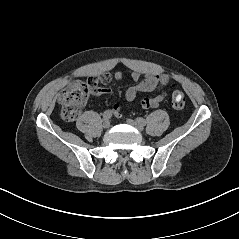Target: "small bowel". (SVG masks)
I'll return each mask as SVG.
<instances>
[{
    "label": "small bowel",
    "instance_id": "small-bowel-1",
    "mask_svg": "<svg viewBox=\"0 0 239 239\" xmlns=\"http://www.w3.org/2000/svg\"><path fill=\"white\" fill-rule=\"evenodd\" d=\"M97 78L98 83H108L113 78L117 81L124 79V73L122 71H116L114 74L104 73L101 76H93ZM131 79L137 82L135 85L129 87L125 92V98L128 102L133 103L137 100L139 93L143 92H156V95L148 98H144L141 101V106L144 109L156 108L167 97V92L164 90L169 82V77L166 74L161 73H148L143 79L140 72L134 71L131 73ZM97 83V84H98ZM95 85L91 89V94L94 96H102L110 94V90L107 88L99 87ZM121 104L116 103L114 105V113L116 116H120Z\"/></svg>",
    "mask_w": 239,
    "mask_h": 239
}]
</instances>
